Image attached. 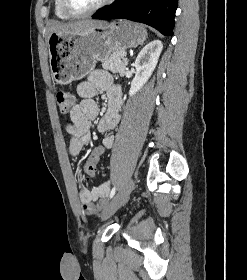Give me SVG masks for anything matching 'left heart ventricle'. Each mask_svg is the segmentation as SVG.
<instances>
[{"mask_svg": "<svg viewBox=\"0 0 247 280\" xmlns=\"http://www.w3.org/2000/svg\"><path fill=\"white\" fill-rule=\"evenodd\" d=\"M101 1L102 0H70V3L76 10H87L94 7Z\"/></svg>", "mask_w": 247, "mask_h": 280, "instance_id": "1", "label": "left heart ventricle"}]
</instances>
